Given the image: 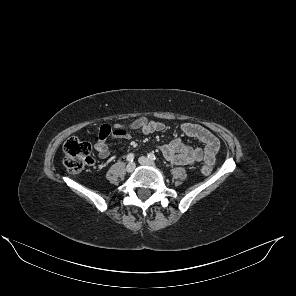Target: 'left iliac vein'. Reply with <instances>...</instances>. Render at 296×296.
<instances>
[{
  "label": "left iliac vein",
  "instance_id": "left-iliac-vein-1",
  "mask_svg": "<svg viewBox=\"0 0 296 296\" xmlns=\"http://www.w3.org/2000/svg\"><path fill=\"white\" fill-rule=\"evenodd\" d=\"M138 161L141 165H146V166H151V167L155 166V164L152 161H150L148 158H146L144 156L140 157L138 159Z\"/></svg>",
  "mask_w": 296,
  "mask_h": 296
}]
</instances>
